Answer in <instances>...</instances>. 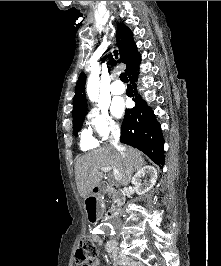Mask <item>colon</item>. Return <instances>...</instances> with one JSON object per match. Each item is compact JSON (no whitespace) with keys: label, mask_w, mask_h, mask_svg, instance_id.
<instances>
[{"label":"colon","mask_w":221,"mask_h":266,"mask_svg":"<svg viewBox=\"0 0 221 266\" xmlns=\"http://www.w3.org/2000/svg\"><path fill=\"white\" fill-rule=\"evenodd\" d=\"M97 257L96 247L92 239L88 236H83L79 242L76 259L82 266H89Z\"/></svg>","instance_id":"1"}]
</instances>
